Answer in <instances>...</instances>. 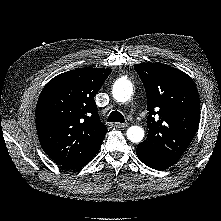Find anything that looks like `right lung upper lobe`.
<instances>
[{
    "mask_svg": "<svg viewBox=\"0 0 221 221\" xmlns=\"http://www.w3.org/2000/svg\"><path fill=\"white\" fill-rule=\"evenodd\" d=\"M111 69L81 68L51 79L36 106V129L46 154L60 165L90 160L107 133L94 97Z\"/></svg>",
    "mask_w": 221,
    "mask_h": 221,
    "instance_id": "cb5924a9",
    "label": "right lung upper lobe"
}]
</instances>
